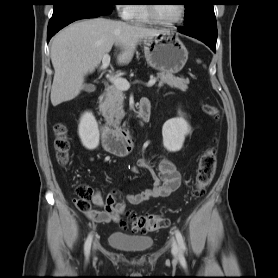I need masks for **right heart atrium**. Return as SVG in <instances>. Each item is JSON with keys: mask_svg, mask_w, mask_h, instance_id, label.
Listing matches in <instances>:
<instances>
[{"mask_svg": "<svg viewBox=\"0 0 278 278\" xmlns=\"http://www.w3.org/2000/svg\"><path fill=\"white\" fill-rule=\"evenodd\" d=\"M134 5L132 4H119L116 6L118 15L124 20H130L133 14Z\"/></svg>", "mask_w": 278, "mask_h": 278, "instance_id": "1", "label": "right heart atrium"}]
</instances>
